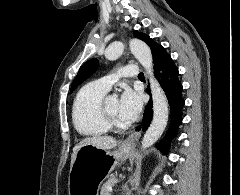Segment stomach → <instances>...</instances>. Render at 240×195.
I'll list each match as a JSON object with an SVG mask.
<instances>
[{
	"instance_id": "1",
	"label": "stomach",
	"mask_w": 240,
	"mask_h": 195,
	"mask_svg": "<svg viewBox=\"0 0 240 195\" xmlns=\"http://www.w3.org/2000/svg\"><path fill=\"white\" fill-rule=\"evenodd\" d=\"M135 145H119L117 149H101L86 143L78 149L68 177L69 195H99L104 179L120 159L128 157Z\"/></svg>"
}]
</instances>
